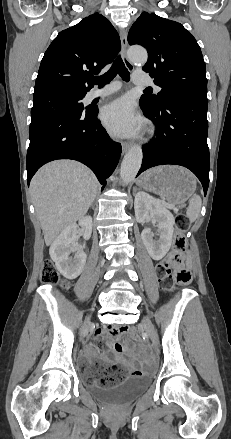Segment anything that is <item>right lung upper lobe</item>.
Listing matches in <instances>:
<instances>
[{
	"label": "right lung upper lobe",
	"mask_w": 231,
	"mask_h": 439,
	"mask_svg": "<svg viewBox=\"0 0 231 439\" xmlns=\"http://www.w3.org/2000/svg\"><path fill=\"white\" fill-rule=\"evenodd\" d=\"M121 48L112 24L102 15H90L61 31L41 61L34 98L51 93L86 94L90 79L111 63Z\"/></svg>",
	"instance_id": "1"
}]
</instances>
